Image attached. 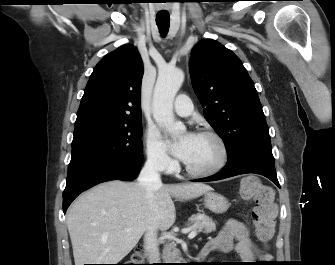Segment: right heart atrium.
Returning <instances> with one entry per match:
<instances>
[{"label":"right heart atrium","instance_id":"obj_1","mask_svg":"<svg viewBox=\"0 0 335 265\" xmlns=\"http://www.w3.org/2000/svg\"><path fill=\"white\" fill-rule=\"evenodd\" d=\"M145 155L147 163L158 171L168 172L174 166L158 130L153 127L145 133Z\"/></svg>","mask_w":335,"mask_h":265}]
</instances>
